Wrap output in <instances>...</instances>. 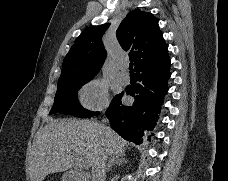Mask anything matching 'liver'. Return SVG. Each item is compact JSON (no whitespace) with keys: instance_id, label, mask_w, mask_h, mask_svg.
Instances as JSON below:
<instances>
[{"instance_id":"6515ba94","label":"liver","mask_w":228,"mask_h":181,"mask_svg":"<svg viewBox=\"0 0 228 181\" xmlns=\"http://www.w3.org/2000/svg\"><path fill=\"white\" fill-rule=\"evenodd\" d=\"M94 121L78 119H49L34 141L29 161L30 181H44L47 175L71 171L77 157H82L86 167L98 151L108 155H123V141L110 127H102V135H94Z\"/></svg>"}]
</instances>
